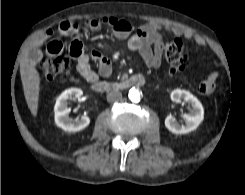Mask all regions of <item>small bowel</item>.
<instances>
[{
	"mask_svg": "<svg viewBox=\"0 0 245 195\" xmlns=\"http://www.w3.org/2000/svg\"><path fill=\"white\" fill-rule=\"evenodd\" d=\"M87 26L92 30H98L102 26L107 27L118 38L129 36L127 46L132 51H137L145 65L149 68H158L162 63L163 39L160 30L163 27L154 22H148L141 26H134L127 20L118 19L115 17H105L103 19H90L87 21ZM167 31L176 36H182L187 40H192L200 47L207 45L206 39L196 32L183 29L180 27H164ZM79 26L72 21H64L59 25V32L63 35H74L79 33ZM52 35L51 30H46L32 45L29 52V60L36 63L42 57L43 45L48 42L46 50L50 55H58L63 50V45L60 41H49ZM69 52L76 60L78 73L88 82H94L98 75L92 69L91 64H95L98 73L103 77H108L112 73L111 62L98 52L87 54L80 40L74 39L69 45ZM218 73L212 72L198 86V91L201 94L208 95L212 93L217 84Z\"/></svg>",
	"mask_w": 245,
	"mask_h": 195,
	"instance_id": "small-bowel-1",
	"label": "small bowel"
}]
</instances>
